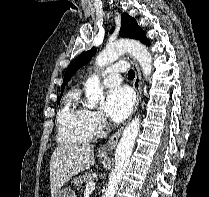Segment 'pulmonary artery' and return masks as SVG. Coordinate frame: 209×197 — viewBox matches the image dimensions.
Instances as JSON below:
<instances>
[{"label":"pulmonary artery","instance_id":"e3ab8cb5","mask_svg":"<svg viewBox=\"0 0 209 197\" xmlns=\"http://www.w3.org/2000/svg\"><path fill=\"white\" fill-rule=\"evenodd\" d=\"M128 65L124 62L107 66L103 71L102 83L105 86L112 87L121 83L120 73L125 72Z\"/></svg>","mask_w":209,"mask_h":197}]
</instances>
